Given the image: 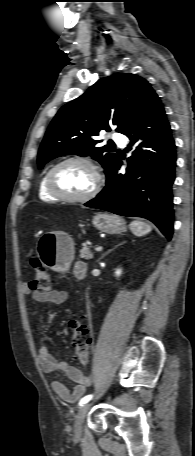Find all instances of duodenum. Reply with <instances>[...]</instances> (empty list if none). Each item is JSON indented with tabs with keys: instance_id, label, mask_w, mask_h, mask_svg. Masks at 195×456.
I'll return each mask as SVG.
<instances>
[{
	"instance_id": "obj_1",
	"label": "duodenum",
	"mask_w": 195,
	"mask_h": 456,
	"mask_svg": "<svg viewBox=\"0 0 195 456\" xmlns=\"http://www.w3.org/2000/svg\"><path fill=\"white\" fill-rule=\"evenodd\" d=\"M85 271H86V265L84 264L83 266H81L79 268V271H78L79 276H83L85 274Z\"/></svg>"
}]
</instances>
